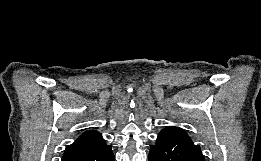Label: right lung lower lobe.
<instances>
[{"label": "right lung lower lobe", "instance_id": "right-lung-lower-lobe-1", "mask_svg": "<svg viewBox=\"0 0 261 161\" xmlns=\"http://www.w3.org/2000/svg\"><path fill=\"white\" fill-rule=\"evenodd\" d=\"M62 161H114V155L111 145L105 143L94 149L65 153Z\"/></svg>", "mask_w": 261, "mask_h": 161}]
</instances>
